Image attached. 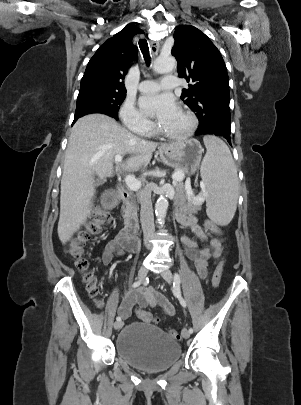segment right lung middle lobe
<instances>
[{"label":"right lung middle lobe","mask_w":301,"mask_h":405,"mask_svg":"<svg viewBox=\"0 0 301 405\" xmlns=\"http://www.w3.org/2000/svg\"><path fill=\"white\" fill-rule=\"evenodd\" d=\"M126 93L86 92L78 95L74 122L87 114L102 113L118 119V109Z\"/></svg>","instance_id":"dd1d6c3e"}]
</instances>
